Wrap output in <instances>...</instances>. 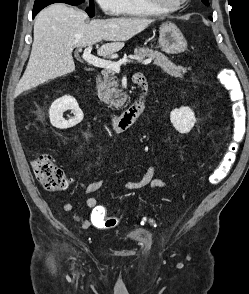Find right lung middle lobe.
<instances>
[{
	"label": "right lung middle lobe",
	"instance_id": "obj_1",
	"mask_svg": "<svg viewBox=\"0 0 249 294\" xmlns=\"http://www.w3.org/2000/svg\"><path fill=\"white\" fill-rule=\"evenodd\" d=\"M84 1L85 0H35L34 9L44 8L47 5H50L52 3H58V2L67 3V4H70V5L76 6V5L81 4ZM86 11H87V13H88V15L90 17H93L94 16V4H93V0H90V5H89V7L87 8Z\"/></svg>",
	"mask_w": 249,
	"mask_h": 294
}]
</instances>
